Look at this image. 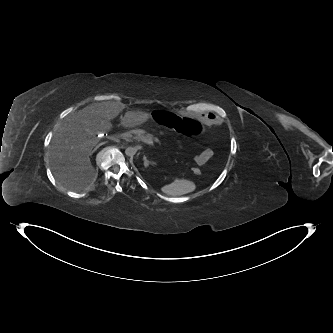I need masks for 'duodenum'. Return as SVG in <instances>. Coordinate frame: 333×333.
<instances>
[{"mask_svg":"<svg viewBox=\"0 0 333 333\" xmlns=\"http://www.w3.org/2000/svg\"><path fill=\"white\" fill-rule=\"evenodd\" d=\"M144 134V129H134L132 130V135ZM124 136H130V130L124 131Z\"/></svg>","mask_w":333,"mask_h":333,"instance_id":"410a0bca","label":"duodenum"}]
</instances>
